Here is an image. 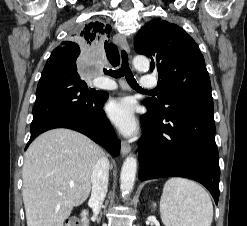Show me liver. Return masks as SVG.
I'll return each instance as SVG.
<instances>
[{
  "label": "liver",
  "mask_w": 247,
  "mask_h": 226,
  "mask_svg": "<svg viewBox=\"0 0 247 226\" xmlns=\"http://www.w3.org/2000/svg\"><path fill=\"white\" fill-rule=\"evenodd\" d=\"M102 156L98 145L76 131L53 129L37 137L22 171L27 226H63L73 207L88 198Z\"/></svg>",
  "instance_id": "1"
}]
</instances>
